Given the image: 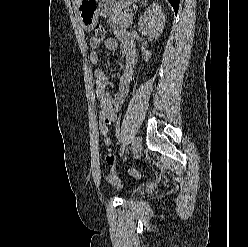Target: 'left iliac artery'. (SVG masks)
<instances>
[{
    "instance_id": "1",
    "label": "left iliac artery",
    "mask_w": 248,
    "mask_h": 247,
    "mask_svg": "<svg viewBox=\"0 0 248 247\" xmlns=\"http://www.w3.org/2000/svg\"><path fill=\"white\" fill-rule=\"evenodd\" d=\"M124 150H125V146H124V145H122V147H121V152H120V155H121V156L123 155Z\"/></svg>"
}]
</instances>
